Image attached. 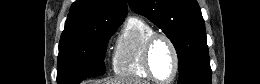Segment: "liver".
Returning a JSON list of instances; mask_svg holds the SVG:
<instances>
[{
  "label": "liver",
  "instance_id": "1",
  "mask_svg": "<svg viewBox=\"0 0 260 84\" xmlns=\"http://www.w3.org/2000/svg\"><path fill=\"white\" fill-rule=\"evenodd\" d=\"M132 82H135L134 84H147L145 81H132V80H127V79H113L110 81H106L104 84H132ZM85 84H90V83H85ZM95 84H100V83H95Z\"/></svg>",
  "mask_w": 260,
  "mask_h": 84
}]
</instances>
